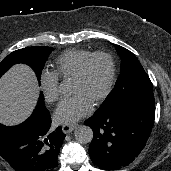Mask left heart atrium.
I'll use <instances>...</instances> for the list:
<instances>
[{
  "instance_id": "39dd6f15",
  "label": "left heart atrium",
  "mask_w": 171,
  "mask_h": 171,
  "mask_svg": "<svg viewBox=\"0 0 171 171\" xmlns=\"http://www.w3.org/2000/svg\"><path fill=\"white\" fill-rule=\"evenodd\" d=\"M91 103L81 94L63 99L56 108L53 119L59 124H73L88 115Z\"/></svg>"
}]
</instances>
